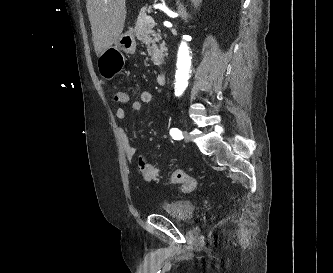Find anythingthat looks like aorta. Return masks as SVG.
<instances>
[{
    "instance_id": "1",
    "label": "aorta",
    "mask_w": 333,
    "mask_h": 273,
    "mask_svg": "<svg viewBox=\"0 0 333 273\" xmlns=\"http://www.w3.org/2000/svg\"><path fill=\"white\" fill-rule=\"evenodd\" d=\"M187 41L188 37L183 36L178 49L176 83H175V93L177 95H181L185 91L188 85L189 73L191 68V57Z\"/></svg>"
}]
</instances>
